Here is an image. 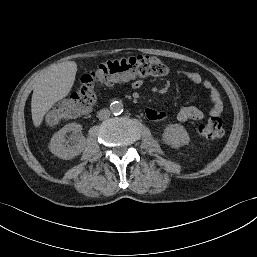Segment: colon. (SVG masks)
<instances>
[{
  "label": "colon",
  "instance_id": "5ec220e1",
  "mask_svg": "<svg viewBox=\"0 0 257 257\" xmlns=\"http://www.w3.org/2000/svg\"><path fill=\"white\" fill-rule=\"evenodd\" d=\"M166 66L155 56L139 55L99 64L82 75L78 89L70 99L59 103L47 114V121L57 123L84 115L97 100V88L141 77L162 76ZM224 133L223 121L211 117L199 126V134L207 140H216Z\"/></svg>",
  "mask_w": 257,
  "mask_h": 257
}]
</instances>
